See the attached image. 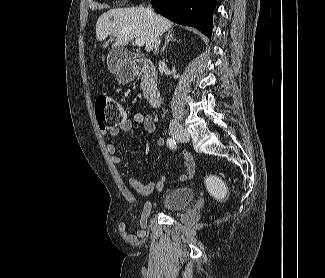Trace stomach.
Instances as JSON below:
<instances>
[{"instance_id":"obj_1","label":"stomach","mask_w":325,"mask_h":278,"mask_svg":"<svg viewBox=\"0 0 325 278\" xmlns=\"http://www.w3.org/2000/svg\"><path fill=\"white\" fill-rule=\"evenodd\" d=\"M117 80L120 83H129L131 82L136 75V71L132 66L120 65L117 69Z\"/></svg>"}]
</instances>
